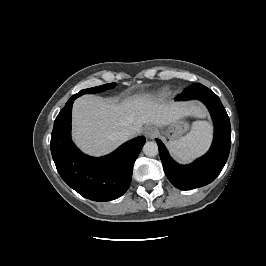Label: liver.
Here are the masks:
<instances>
[{
  "label": "liver",
  "instance_id": "6515ba94",
  "mask_svg": "<svg viewBox=\"0 0 266 266\" xmlns=\"http://www.w3.org/2000/svg\"><path fill=\"white\" fill-rule=\"evenodd\" d=\"M203 114L191 103L169 105L143 96L117 104L110 99L84 95L73 105V138L84 152L99 156L121 144L117 137L121 129H129L131 136H136L144 124L166 126L184 116Z\"/></svg>",
  "mask_w": 266,
  "mask_h": 266
}]
</instances>
